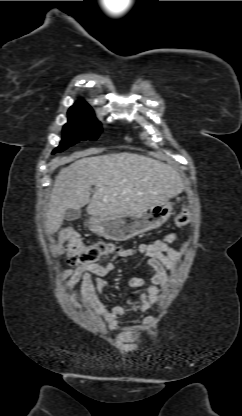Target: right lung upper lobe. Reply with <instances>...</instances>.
Masks as SVG:
<instances>
[{
  "instance_id": "cb5924a9",
  "label": "right lung upper lobe",
  "mask_w": 242,
  "mask_h": 416,
  "mask_svg": "<svg viewBox=\"0 0 242 416\" xmlns=\"http://www.w3.org/2000/svg\"><path fill=\"white\" fill-rule=\"evenodd\" d=\"M87 105L84 101L76 102L73 106Z\"/></svg>"
}]
</instances>
